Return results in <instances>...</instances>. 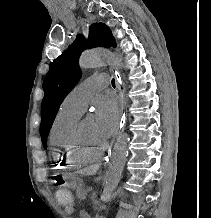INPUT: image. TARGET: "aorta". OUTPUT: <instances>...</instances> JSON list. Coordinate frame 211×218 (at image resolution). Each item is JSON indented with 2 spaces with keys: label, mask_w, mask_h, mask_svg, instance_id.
I'll return each instance as SVG.
<instances>
[{
  "label": "aorta",
  "mask_w": 211,
  "mask_h": 218,
  "mask_svg": "<svg viewBox=\"0 0 211 218\" xmlns=\"http://www.w3.org/2000/svg\"><path fill=\"white\" fill-rule=\"evenodd\" d=\"M104 63L111 64L116 68L123 67L121 59L106 50H90L84 52L79 60L80 67L84 69L98 67ZM129 141L130 139L127 133L121 134L117 138L109 157L108 170L104 176L102 201H108L118 186L126 162Z\"/></svg>",
  "instance_id": "762f6f07"
}]
</instances>
